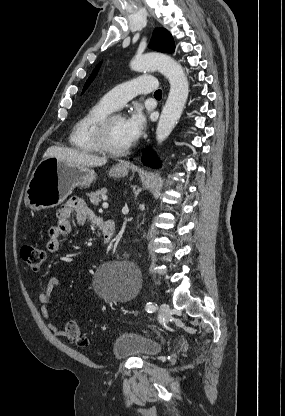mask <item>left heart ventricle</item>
<instances>
[{"mask_svg":"<svg viewBox=\"0 0 285 416\" xmlns=\"http://www.w3.org/2000/svg\"><path fill=\"white\" fill-rule=\"evenodd\" d=\"M107 141L112 148L122 149L128 146L123 132V117L115 116L109 124Z\"/></svg>","mask_w":285,"mask_h":416,"instance_id":"b2bd125f","label":"left heart ventricle"}]
</instances>
